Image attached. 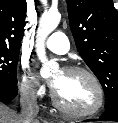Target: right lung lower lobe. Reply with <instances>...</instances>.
<instances>
[{
	"mask_svg": "<svg viewBox=\"0 0 118 123\" xmlns=\"http://www.w3.org/2000/svg\"><path fill=\"white\" fill-rule=\"evenodd\" d=\"M18 93L17 86H2L0 85V101L9 102L16 97Z\"/></svg>",
	"mask_w": 118,
	"mask_h": 123,
	"instance_id": "obj_1",
	"label": "right lung lower lobe"
}]
</instances>
